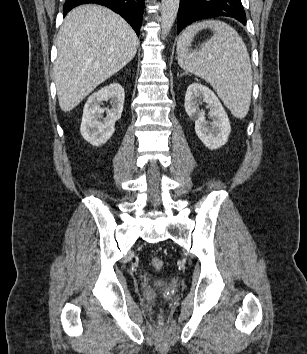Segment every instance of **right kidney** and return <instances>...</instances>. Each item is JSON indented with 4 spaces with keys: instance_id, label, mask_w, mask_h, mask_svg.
<instances>
[{
    "instance_id": "ca27d5eb",
    "label": "right kidney",
    "mask_w": 307,
    "mask_h": 354,
    "mask_svg": "<svg viewBox=\"0 0 307 354\" xmlns=\"http://www.w3.org/2000/svg\"><path fill=\"white\" fill-rule=\"evenodd\" d=\"M125 93L119 83H112L93 93L87 100L82 116L80 133L93 146L106 143L115 131V122L121 118ZM110 101L111 109L102 108ZM106 111V117L103 113Z\"/></svg>"
}]
</instances>
